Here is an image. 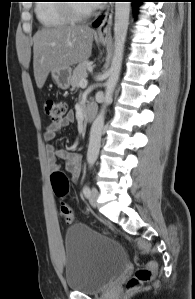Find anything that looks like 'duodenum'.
Wrapping results in <instances>:
<instances>
[{
  "mask_svg": "<svg viewBox=\"0 0 195 299\" xmlns=\"http://www.w3.org/2000/svg\"><path fill=\"white\" fill-rule=\"evenodd\" d=\"M97 113V105L93 102L87 104L84 109V116L88 122H92Z\"/></svg>",
  "mask_w": 195,
  "mask_h": 299,
  "instance_id": "1",
  "label": "duodenum"
}]
</instances>
